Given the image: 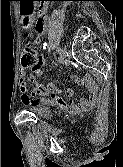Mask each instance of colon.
Listing matches in <instances>:
<instances>
[{"instance_id": "colon-1", "label": "colon", "mask_w": 123, "mask_h": 167, "mask_svg": "<svg viewBox=\"0 0 123 167\" xmlns=\"http://www.w3.org/2000/svg\"><path fill=\"white\" fill-rule=\"evenodd\" d=\"M43 28V17L37 21V30L41 31ZM21 64L25 67L37 68L40 64L37 51L31 46L28 41L21 50Z\"/></svg>"}]
</instances>
